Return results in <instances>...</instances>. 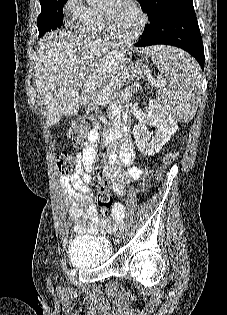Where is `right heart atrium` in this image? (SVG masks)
Instances as JSON below:
<instances>
[{
	"label": "right heart atrium",
	"instance_id": "obj_1",
	"mask_svg": "<svg viewBox=\"0 0 227 315\" xmlns=\"http://www.w3.org/2000/svg\"><path fill=\"white\" fill-rule=\"evenodd\" d=\"M89 8L83 0H66L63 6V13L70 23L81 22L87 16Z\"/></svg>",
	"mask_w": 227,
	"mask_h": 315
}]
</instances>
